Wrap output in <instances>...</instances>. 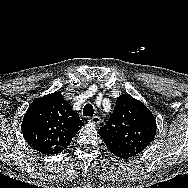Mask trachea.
<instances>
[{"mask_svg": "<svg viewBox=\"0 0 188 188\" xmlns=\"http://www.w3.org/2000/svg\"><path fill=\"white\" fill-rule=\"evenodd\" d=\"M94 114V109L93 106L91 104H86L83 108V115L84 116H93Z\"/></svg>", "mask_w": 188, "mask_h": 188, "instance_id": "3493384b", "label": "trachea"}]
</instances>
